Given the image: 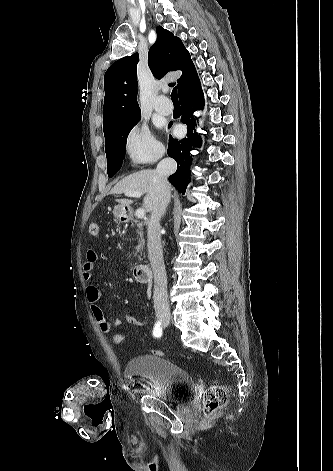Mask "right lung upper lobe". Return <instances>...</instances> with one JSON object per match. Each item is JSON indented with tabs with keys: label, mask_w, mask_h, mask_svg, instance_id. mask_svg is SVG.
I'll use <instances>...</instances> for the list:
<instances>
[{
	"label": "right lung upper lobe",
	"mask_w": 333,
	"mask_h": 471,
	"mask_svg": "<svg viewBox=\"0 0 333 471\" xmlns=\"http://www.w3.org/2000/svg\"><path fill=\"white\" fill-rule=\"evenodd\" d=\"M157 40L148 53V65L153 75L160 79L169 71L181 70L177 80L178 94L185 90L197 76L190 54L180 38L158 26ZM138 53L114 62L104 75V132L113 125L140 115L137 98L136 65Z\"/></svg>",
	"instance_id": "1"
}]
</instances>
